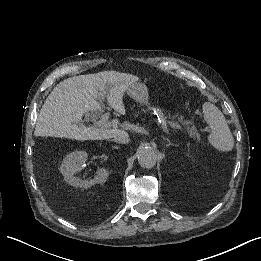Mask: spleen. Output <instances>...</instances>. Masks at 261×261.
Listing matches in <instances>:
<instances>
[{
    "mask_svg": "<svg viewBox=\"0 0 261 261\" xmlns=\"http://www.w3.org/2000/svg\"><path fill=\"white\" fill-rule=\"evenodd\" d=\"M203 116L210 128L208 142L212 148L220 152H230L234 149V138L223 114L213 106L203 108Z\"/></svg>",
    "mask_w": 261,
    "mask_h": 261,
    "instance_id": "3e777b00",
    "label": "spleen"
}]
</instances>
